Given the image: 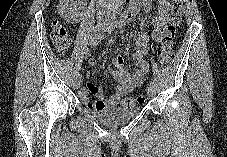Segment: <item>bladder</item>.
Here are the masks:
<instances>
[{
  "instance_id": "obj_1",
  "label": "bladder",
  "mask_w": 227,
  "mask_h": 157,
  "mask_svg": "<svg viewBox=\"0 0 227 157\" xmlns=\"http://www.w3.org/2000/svg\"><path fill=\"white\" fill-rule=\"evenodd\" d=\"M90 112L98 121L113 126L133 119L139 114L140 108L114 106L104 109H91Z\"/></svg>"
}]
</instances>
